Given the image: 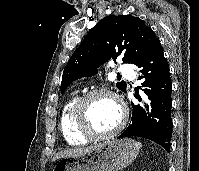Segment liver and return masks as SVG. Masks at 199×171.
I'll use <instances>...</instances> for the list:
<instances>
[{
    "instance_id": "liver-1",
    "label": "liver",
    "mask_w": 199,
    "mask_h": 171,
    "mask_svg": "<svg viewBox=\"0 0 199 171\" xmlns=\"http://www.w3.org/2000/svg\"><path fill=\"white\" fill-rule=\"evenodd\" d=\"M94 148H95V146H90V147H87V148H73V149L60 151V152H58L57 154L54 155L52 161H55V160L60 159V158L82 155L84 153H87V152L93 150Z\"/></svg>"
}]
</instances>
